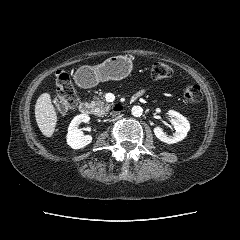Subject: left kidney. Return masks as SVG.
Returning <instances> with one entry per match:
<instances>
[{
	"label": "left kidney",
	"instance_id": "1",
	"mask_svg": "<svg viewBox=\"0 0 240 240\" xmlns=\"http://www.w3.org/2000/svg\"><path fill=\"white\" fill-rule=\"evenodd\" d=\"M168 115L175 128V133H173V135H167L161 127L157 126L154 128V134L160 141L173 144L183 140L187 136L190 124L183 115L174 110H169Z\"/></svg>",
	"mask_w": 240,
	"mask_h": 240
}]
</instances>
